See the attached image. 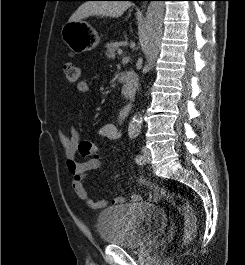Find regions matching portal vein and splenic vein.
<instances>
[{
    "mask_svg": "<svg viewBox=\"0 0 245 265\" xmlns=\"http://www.w3.org/2000/svg\"><path fill=\"white\" fill-rule=\"evenodd\" d=\"M117 53H118V55H122V53H123L122 49H118Z\"/></svg>",
    "mask_w": 245,
    "mask_h": 265,
    "instance_id": "18ae733b",
    "label": "portal vein and splenic vein"
}]
</instances>
